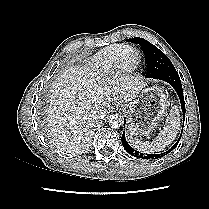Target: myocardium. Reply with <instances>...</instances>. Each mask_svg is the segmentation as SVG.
I'll list each match as a JSON object with an SVG mask.
<instances>
[{"instance_id":"obj_1","label":"myocardium","mask_w":209,"mask_h":209,"mask_svg":"<svg viewBox=\"0 0 209 209\" xmlns=\"http://www.w3.org/2000/svg\"><path fill=\"white\" fill-rule=\"evenodd\" d=\"M126 50H133L134 53H136V50L132 46L123 45L119 49V51L117 52V54L115 56L114 65L113 66L115 67L116 70L126 71V70H128V69H130L132 67L130 62H123L122 55H123V53Z\"/></svg>"}]
</instances>
